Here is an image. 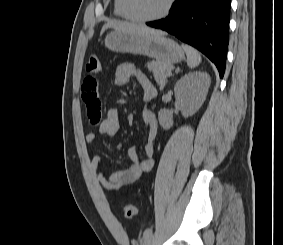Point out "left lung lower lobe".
Segmentation results:
<instances>
[{"instance_id":"0a47b994","label":"left lung lower lobe","mask_w":283,"mask_h":245,"mask_svg":"<svg viewBox=\"0 0 283 245\" xmlns=\"http://www.w3.org/2000/svg\"><path fill=\"white\" fill-rule=\"evenodd\" d=\"M231 0H175L169 15L147 22L205 54L223 77L229 41Z\"/></svg>"}]
</instances>
